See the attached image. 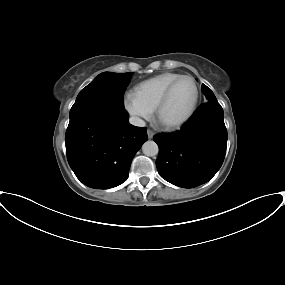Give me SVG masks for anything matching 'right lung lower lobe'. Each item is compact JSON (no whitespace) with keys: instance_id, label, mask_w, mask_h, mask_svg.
Masks as SVG:
<instances>
[{"instance_id":"right-lung-lower-lobe-1","label":"right lung lower lobe","mask_w":285,"mask_h":285,"mask_svg":"<svg viewBox=\"0 0 285 285\" xmlns=\"http://www.w3.org/2000/svg\"><path fill=\"white\" fill-rule=\"evenodd\" d=\"M125 109L92 105L73 117L66 131L68 163L85 185L109 189L129 175L132 159L147 141L146 128L128 122Z\"/></svg>"}]
</instances>
